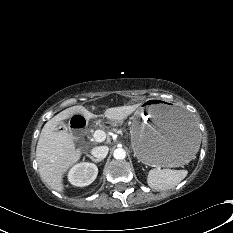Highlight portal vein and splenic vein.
Wrapping results in <instances>:
<instances>
[{
  "label": "portal vein and splenic vein",
  "mask_w": 233,
  "mask_h": 233,
  "mask_svg": "<svg viewBox=\"0 0 233 233\" xmlns=\"http://www.w3.org/2000/svg\"><path fill=\"white\" fill-rule=\"evenodd\" d=\"M93 138L96 142H103L106 139V133L103 130H96L93 133Z\"/></svg>",
  "instance_id": "portal-vein-and-splenic-vein-1"
}]
</instances>
